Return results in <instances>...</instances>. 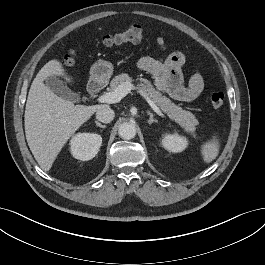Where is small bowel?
Listing matches in <instances>:
<instances>
[{"label": "small bowel", "instance_id": "small-bowel-1", "mask_svg": "<svg viewBox=\"0 0 265 265\" xmlns=\"http://www.w3.org/2000/svg\"><path fill=\"white\" fill-rule=\"evenodd\" d=\"M157 43L162 50H167L163 37H158ZM185 60V55L182 52L175 51L167 53L160 59L150 56L141 57L137 62V66L140 70L153 76L155 84L160 91L176 100L190 102L202 92L204 79L202 74L195 70L187 85H185L182 73Z\"/></svg>", "mask_w": 265, "mask_h": 265}]
</instances>
